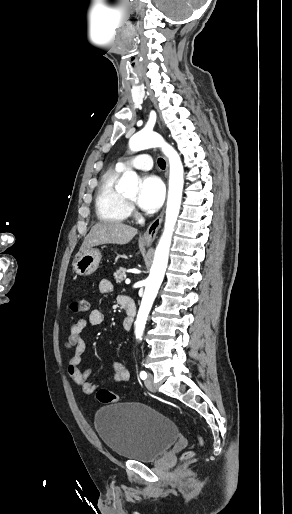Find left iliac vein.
Instances as JSON below:
<instances>
[{
    "instance_id": "left-iliac-vein-1",
    "label": "left iliac vein",
    "mask_w": 292,
    "mask_h": 514,
    "mask_svg": "<svg viewBox=\"0 0 292 514\" xmlns=\"http://www.w3.org/2000/svg\"><path fill=\"white\" fill-rule=\"evenodd\" d=\"M145 386L148 390L155 392L156 386L154 384L153 375L151 373L148 374L147 378L144 381Z\"/></svg>"
}]
</instances>
